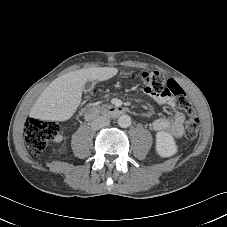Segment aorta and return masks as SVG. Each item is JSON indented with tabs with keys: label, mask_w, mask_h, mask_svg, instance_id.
I'll use <instances>...</instances> for the list:
<instances>
[{
	"label": "aorta",
	"mask_w": 227,
	"mask_h": 227,
	"mask_svg": "<svg viewBox=\"0 0 227 227\" xmlns=\"http://www.w3.org/2000/svg\"><path fill=\"white\" fill-rule=\"evenodd\" d=\"M118 125L122 128H127L131 125V117L129 115H121L118 118Z\"/></svg>",
	"instance_id": "762f6f07"
}]
</instances>
